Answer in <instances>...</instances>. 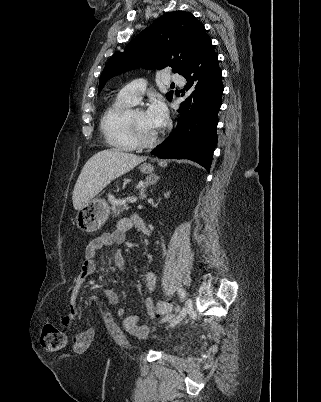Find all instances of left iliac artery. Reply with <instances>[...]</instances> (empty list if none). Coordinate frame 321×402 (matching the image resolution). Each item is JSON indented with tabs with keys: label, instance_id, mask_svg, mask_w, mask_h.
I'll return each instance as SVG.
<instances>
[{
	"label": "left iliac artery",
	"instance_id": "left-iliac-artery-1",
	"mask_svg": "<svg viewBox=\"0 0 321 402\" xmlns=\"http://www.w3.org/2000/svg\"><path fill=\"white\" fill-rule=\"evenodd\" d=\"M178 292H179V295H180L181 300L184 301L185 298H186V292H185V290L182 289V288H180ZM171 317H172V316H171ZM171 317H166V318H164L162 321H166V320L170 319Z\"/></svg>",
	"mask_w": 321,
	"mask_h": 402
}]
</instances>
